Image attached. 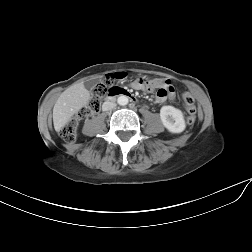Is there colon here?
Returning <instances> with one entry per match:
<instances>
[{
    "label": "colon",
    "mask_w": 252,
    "mask_h": 252,
    "mask_svg": "<svg viewBox=\"0 0 252 252\" xmlns=\"http://www.w3.org/2000/svg\"><path fill=\"white\" fill-rule=\"evenodd\" d=\"M125 77L126 73L116 72L113 74H107L102 78V80L93 88L87 105L81 108L74 117L61 127L60 135L64 141L71 143L76 139L79 122L97 112L100 109L101 102L105 97L115 91L121 90L119 87L114 86V83L116 81L124 80ZM140 83L144 88L148 89L150 87L149 81L146 79H140ZM182 100L185 109L188 112L187 121L189 124H193L196 120V106L194 98L189 93H184L182 95Z\"/></svg>",
    "instance_id": "obj_1"
}]
</instances>
